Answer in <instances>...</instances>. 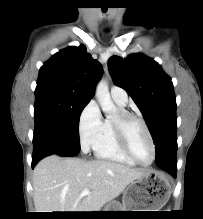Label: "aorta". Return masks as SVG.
<instances>
[{
	"instance_id": "obj_1",
	"label": "aorta",
	"mask_w": 203,
	"mask_h": 219,
	"mask_svg": "<svg viewBox=\"0 0 203 219\" xmlns=\"http://www.w3.org/2000/svg\"><path fill=\"white\" fill-rule=\"evenodd\" d=\"M95 96L104 113L111 114L116 111V106L111 100L109 88L106 80L101 79L98 82L95 90Z\"/></svg>"
}]
</instances>
